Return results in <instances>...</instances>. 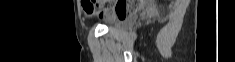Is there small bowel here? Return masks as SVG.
Here are the masks:
<instances>
[{
  "mask_svg": "<svg viewBox=\"0 0 235 62\" xmlns=\"http://www.w3.org/2000/svg\"><path fill=\"white\" fill-rule=\"evenodd\" d=\"M118 6L130 8L133 6L131 3H118L115 7H107L100 13L101 18L105 19H113L116 18V10ZM84 12L87 16H90L93 13V8L90 5H84L83 6ZM118 18V17H117ZM121 19V18H120Z\"/></svg>",
  "mask_w": 235,
  "mask_h": 62,
  "instance_id": "obj_1",
  "label": "small bowel"
}]
</instances>
